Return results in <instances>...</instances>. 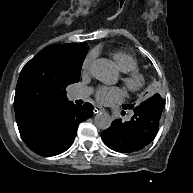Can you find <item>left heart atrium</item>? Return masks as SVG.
Segmentation results:
<instances>
[{"label": "left heart atrium", "instance_id": "obj_1", "mask_svg": "<svg viewBox=\"0 0 193 193\" xmlns=\"http://www.w3.org/2000/svg\"><path fill=\"white\" fill-rule=\"evenodd\" d=\"M120 96L119 90L113 87H103L98 91L97 97L101 101L117 98Z\"/></svg>", "mask_w": 193, "mask_h": 193}]
</instances>
